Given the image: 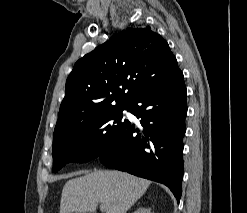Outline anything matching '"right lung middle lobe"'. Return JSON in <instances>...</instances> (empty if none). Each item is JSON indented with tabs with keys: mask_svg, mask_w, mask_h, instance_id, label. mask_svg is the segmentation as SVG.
<instances>
[{
	"mask_svg": "<svg viewBox=\"0 0 247 213\" xmlns=\"http://www.w3.org/2000/svg\"><path fill=\"white\" fill-rule=\"evenodd\" d=\"M123 110L129 104L106 110L92 120L53 137V172L69 162L83 163L112 149L120 131L128 123Z\"/></svg>",
	"mask_w": 247,
	"mask_h": 213,
	"instance_id": "right-lung-middle-lobe-1",
	"label": "right lung middle lobe"
}]
</instances>
